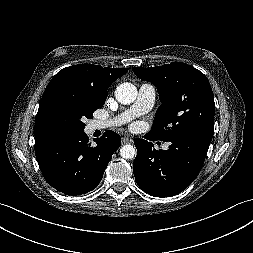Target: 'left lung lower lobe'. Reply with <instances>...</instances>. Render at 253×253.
Wrapping results in <instances>:
<instances>
[{
	"label": "left lung lower lobe",
	"instance_id": "obj_1",
	"mask_svg": "<svg viewBox=\"0 0 253 253\" xmlns=\"http://www.w3.org/2000/svg\"><path fill=\"white\" fill-rule=\"evenodd\" d=\"M213 136L190 134L170 140L168 150H156L149 135L135 139L137 156L133 171L138 186L155 197L176 195L186 189L199 174Z\"/></svg>",
	"mask_w": 253,
	"mask_h": 253
}]
</instances>
